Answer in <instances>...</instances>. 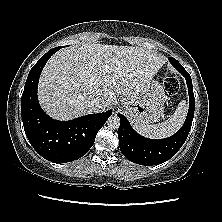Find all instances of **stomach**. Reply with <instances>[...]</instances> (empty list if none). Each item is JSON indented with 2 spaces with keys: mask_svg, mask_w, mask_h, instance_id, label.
Returning <instances> with one entry per match:
<instances>
[{
  "mask_svg": "<svg viewBox=\"0 0 222 222\" xmlns=\"http://www.w3.org/2000/svg\"><path fill=\"white\" fill-rule=\"evenodd\" d=\"M165 91L157 80H151L137 97L125 98L121 105L135 126L156 122L164 112Z\"/></svg>",
  "mask_w": 222,
  "mask_h": 222,
  "instance_id": "1",
  "label": "stomach"
}]
</instances>
